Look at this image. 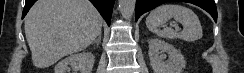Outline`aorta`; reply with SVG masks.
I'll use <instances>...</instances> for the list:
<instances>
[{"instance_id": "aorta-1", "label": "aorta", "mask_w": 244, "mask_h": 73, "mask_svg": "<svg viewBox=\"0 0 244 73\" xmlns=\"http://www.w3.org/2000/svg\"><path fill=\"white\" fill-rule=\"evenodd\" d=\"M136 0H119V11L122 17L126 20H130L135 11Z\"/></svg>"}]
</instances>
